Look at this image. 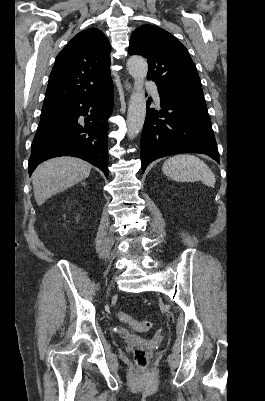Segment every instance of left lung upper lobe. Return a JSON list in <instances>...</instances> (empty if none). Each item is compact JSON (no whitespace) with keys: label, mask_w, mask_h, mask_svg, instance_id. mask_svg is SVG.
Returning <instances> with one entry per match:
<instances>
[{"label":"left lung upper lobe","mask_w":265,"mask_h":401,"mask_svg":"<svg viewBox=\"0 0 265 401\" xmlns=\"http://www.w3.org/2000/svg\"><path fill=\"white\" fill-rule=\"evenodd\" d=\"M128 52L147 59V78L153 80L158 88L203 94L197 69L187 49L162 28L154 25L137 28L131 36Z\"/></svg>","instance_id":"5c2ea615"}]
</instances>
